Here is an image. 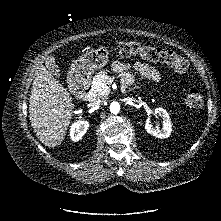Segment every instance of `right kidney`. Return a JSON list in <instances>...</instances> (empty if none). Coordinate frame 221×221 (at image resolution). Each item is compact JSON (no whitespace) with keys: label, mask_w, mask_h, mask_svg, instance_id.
Here are the masks:
<instances>
[{"label":"right kidney","mask_w":221,"mask_h":221,"mask_svg":"<svg viewBox=\"0 0 221 221\" xmlns=\"http://www.w3.org/2000/svg\"><path fill=\"white\" fill-rule=\"evenodd\" d=\"M89 123L87 121L75 122L70 128V138L72 141H79L87 132Z\"/></svg>","instance_id":"ca27d5eb"}]
</instances>
